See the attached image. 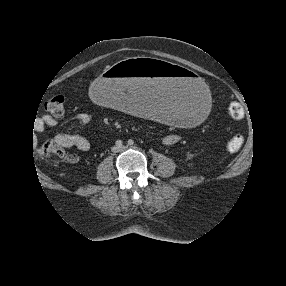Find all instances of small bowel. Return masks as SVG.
Masks as SVG:
<instances>
[{
    "instance_id": "1",
    "label": "small bowel",
    "mask_w": 286,
    "mask_h": 286,
    "mask_svg": "<svg viewBox=\"0 0 286 286\" xmlns=\"http://www.w3.org/2000/svg\"><path fill=\"white\" fill-rule=\"evenodd\" d=\"M79 122L87 123L91 120V117L87 114H81L76 117ZM57 123L56 119L50 115H45L41 118L37 127L38 132H42L46 127L54 126ZM55 141L64 147H75L81 151H89L91 148L90 142L83 136L59 134L55 137ZM179 141V136L176 134H169L163 138V145L172 146ZM70 160H75V157H71Z\"/></svg>"
}]
</instances>
